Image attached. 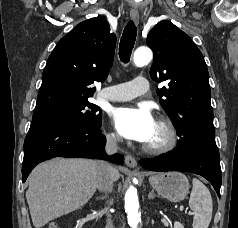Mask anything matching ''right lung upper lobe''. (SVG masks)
<instances>
[{
	"instance_id": "cb5924a9",
	"label": "right lung upper lobe",
	"mask_w": 238,
	"mask_h": 228,
	"mask_svg": "<svg viewBox=\"0 0 238 228\" xmlns=\"http://www.w3.org/2000/svg\"><path fill=\"white\" fill-rule=\"evenodd\" d=\"M116 37L106 19L79 23L59 40L47 60L33 116L50 114L87 101L94 82H103L112 66Z\"/></svg>"
}]
</instances>
